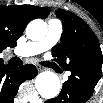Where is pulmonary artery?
Instances as JSON below:
<instances>
[{"label":"pulmonary artery","mask_w":103,"mask_h":103,"mask_svg":"<svg viewBox=\"0 0 103 103\" xmlns=\"http://www.w3.org/2000/svg\"><path fill=\"white\" fill-rule=\"evenodd\" d=\"M62 31V23L57 19H51L48 23L47 34L43 39L20 45L14 52L18 56L29 57L47 51L59 41ZM69 75L70 73H67L66 77Z\"/></svg>","instance_id":"1"}]
</instances>
